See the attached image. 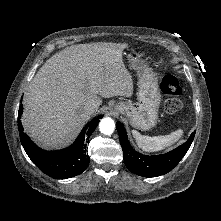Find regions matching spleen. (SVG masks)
<instances>
[{"label": "spleen", "instance_id": "3e777b00", "mask_svg": "<svg viewBox=\"0 0 221 221\" xmlns=\"http://www.w3.org/2000/svg\"><path fill=\"white\" fill-rule=\"evenodd\" d=\"M132 134L139 148L146 152H156L163 150L165 147L170 146L179 140L183 134V131L178 129L168 135L154 137L141 135L136 130H133Z\"/></svg>", "mask_w": 221, "mask_h": 221}]
</instances>
